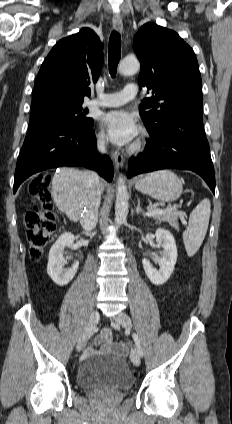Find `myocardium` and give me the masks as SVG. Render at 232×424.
I'll list each match as a JSON object with an SVG mask.
<instances>
[{
	"mask_svg": "<svg viewBox=\"0 0 232 424\" xmlns=\"http://www.w3.org/2000/svg\"><path fill=\"white\" fill-rule=\"evenodd\" d=\"M145 145V135L139 139H137L129 148L130 153H138L140 152Z\"/></svg>",
	"mask_w": 232,
	"mask_h": 424,
	"instance_id": "1",
	"label": "myocardium"
}]
</instances>
